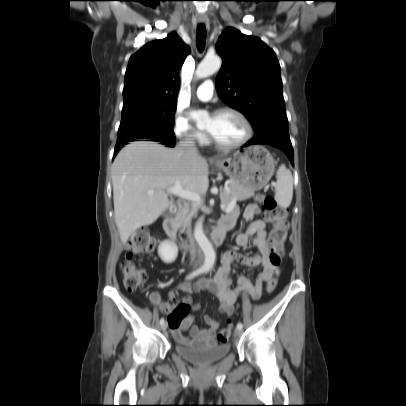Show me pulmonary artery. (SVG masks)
Segmentation results:
<instances>
[{
    "label": "pulmonary artery",
    "mask_w": 406,
    "mask_h": 406,
    "mask_svg": "<svg viewBox=\"0 0 406 406\" xmlns=\"http://www.w3.org/2000/svg\"><path fill=\"white\" fill-rule=\"evenodd\" d=\"M214 91V84L211 80H206L200 84L196 89V96L202 101H208L211 99Z\"/></svg>",
    "instance_id": "e3ab8cb5"
}]
</instances>
